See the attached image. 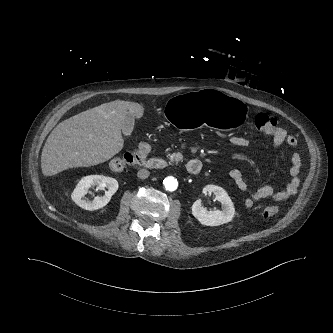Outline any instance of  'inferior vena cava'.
I'll use <instances>...</instances> for the list:
<instances>
[{"instance_id": "obj_1", "label": "inferior vena cava", "mask_w": 333, "mask_h": 333, "mask_svg": "<svg viewBox=\"0 0 333 333\" xmlns=\"http://www.w3.org/2000/svg\"><path fill=\"white\" fill-rule=\"evenodd\" d=\"M150 175V172L147 169H140L137 173L138 178L146 179Z\"/></svg>"}]
</instances>
